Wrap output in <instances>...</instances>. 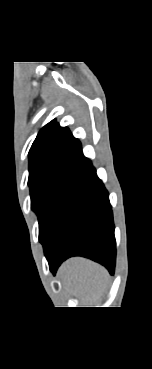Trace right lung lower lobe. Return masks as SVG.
I'll return each mask as SVG.
<instances>
[{"mask_svg":"<svg viewBox=\"0 0 152 369\" xmlns=\"http://www.w3.org/2000/svg\"><path fill=\"white\" fill-rule=\"evenodd\" d=\"M50 270L71 256H83L114 273L116 242L109 195L90 160L75 174L61 197L42 241Z\"/></svg>","mask_w":152,"mask_h":369,"instance_id":"obj_1","label":"right lung lower lobe"}]
</instances>
